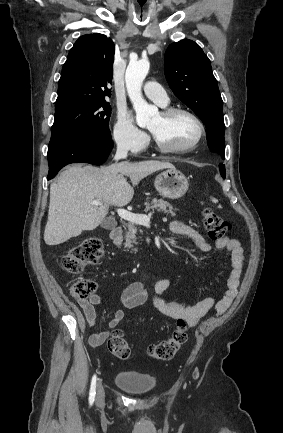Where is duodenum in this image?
<instances>
[{"label":"duodenum","instance_id":"410a0bca","mask_svg":"<svg viewBox=\"0 0 283 433\" xmlns=\"http://www.w3.org/2000/svg\"><path fill=\"white\" fill-rule=\"evenodd\" d=\"M123 229L120 226L113 228L110 232V238L115 244H119L122 240Z\"/></svg>","mask_w":283,"mask_h":433}]
</instances>
